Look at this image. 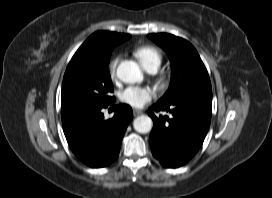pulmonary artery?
Wrapping results in <instances>:
<instances>
[{"mask_svg":"<svg viewBox=\"0 0 272 198\" xmlns=\"http://www.w3.org/2000/svg\"><path fill=\"white\" fill-rule=\"evenodd\" d=\"M147 71L149 73H155L157 71V68L156 67H150V68L147 69Z\"/></svg>","mask_w":272,"mask_h":198,"instance_id":"obj_1","label":"pulmonary artery"}]
</instances>
